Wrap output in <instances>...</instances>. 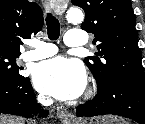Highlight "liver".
Instances as JSON below:
<instances>
[{"label":"liver","mask_w":145,"mask_h":124,"mask_svg":"<svg viewBox=\"0 0 145 124\" xmlns=\"http://www.w3.org/2000/svg\"><path fill=\"white\" fill-rule=\"evenodd\" d=\"M0 124H24L18 117L0 116Z\"/></svg>","instance_id":"obj_1"}]
</instances>
